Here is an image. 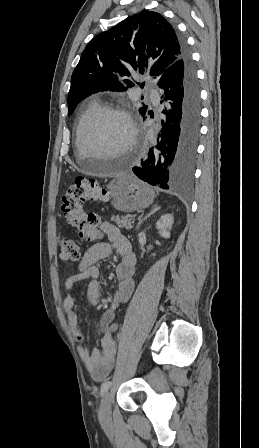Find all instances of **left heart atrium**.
<instances>
[{"label": "left heart atrium", "instance_id": "left-heart-atrium-1", "mask_svg": "<svg viewBox=\"0 0 259 448\" xmlns=\"http://www.w3.org/2000/svg\"><path fill=\"white\" fill-rule=\"evenodd\" d=\"M147 155H148V157L150 158V157H151V151H148V152H147Z\"/></svg>", "mask_w": 259, "mask_h": 448}]
</instances>
